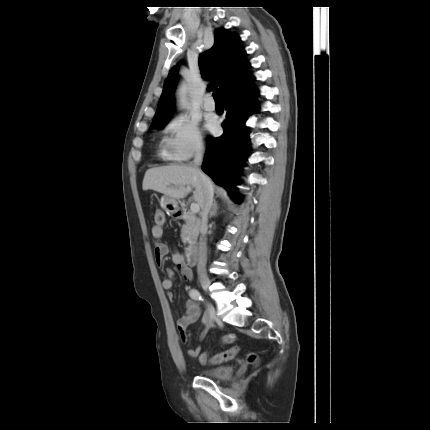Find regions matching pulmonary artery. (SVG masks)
I'll use <instances>...</instances> for the list:
<instances>
[{"label":"pulmonary artery","instance_id":"e3ab8cb5","mask_svg":"<svg viewBox=\"0 0 430 430\" xmlns=\"http://www.w3.org/2000/svg\"><path fill=\"white\" fill-rule=\"evenodd\" d=\"M203 107L207 111H214L215 110L216 105H215L213 99L210 97V95H207L205 97L204 102H203Z\"/></svg>","mask_w":430,"mask_h":430}]
</instances>
